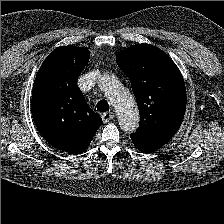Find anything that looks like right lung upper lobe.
I'll list each match as a JSON object with an SVG mask.
<instances>
[{"mask_svg":"<svg viewBox=\"0 0 224 224\" xmlns=\"http://www.w3.org/2000/svg\"><path fill=\"white\" fill-rule=\"evenodd\" d=\"M89 58L87 48H56L42 63L33 84L31 113L38 131L53 147L72 155L86 150L103 123L77 86Z\"/></svg>","mask_w":224,"mask_h":224,"instance_id":"right-lung-upper-lobe-1","label":"right lung upper lobe"}]
</instances>
